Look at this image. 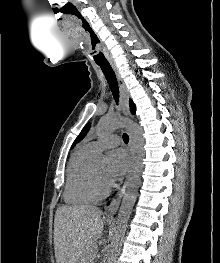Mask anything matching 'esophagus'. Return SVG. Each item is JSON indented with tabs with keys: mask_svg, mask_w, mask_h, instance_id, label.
I'll list each match as a JSON object with an SVG mask.
<instances>
[{
	"mask_svg": "<svg viewBox=\"0 0 220 263\" xmlns=\"http://www.w3.org/2000/svg\"><path fill=\"white\" fill-rule=\"evenodd\" d=\"M112 68H113V70L115 72V75H116V78H117V81H118V84H119L123 112H124V114L127 117L132 118V115L130 113V107H129V92H128V89H127V87L125 85V82H124L123 78L121 77L117 67L115 65H113ZM129 136H130L129 153H130V156L132 157V137H131L130 133H129ZM129 177H130V168L128 170V173H127V176H126V180H125L122 188L117 192L115 197L112 199L110 205L107 206L106 209H105L104 214H105L106 217H111L112 218L116 214V212H117V210L119 208L121 199H122V197H123V195H124V193L126 191V188L128 186Z\"/></svg>",
	"mask_w": 220,
	"mask_h": 263,
	"instance_id": "1",
	"label": "esophagus"
}]
</instances>
